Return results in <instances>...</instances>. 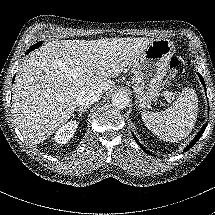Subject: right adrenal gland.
<instances>
[{"mask_svg": "<svg viewBox=\"0 0 215 215\" xmlns=\"http://www.w3.org/2000/svg\"><path fill=\"white\" fill-rule=\"evenodd\" d=\"M84 111H85V109H83V108H78V109L76 110V113L78 114V117H81V116L83 115Z\"/></svg>", "mask_w": 215, "mask_h": 215, "instance_id": "obj_1", "label": "right adrenal gland"}]
</instances>
